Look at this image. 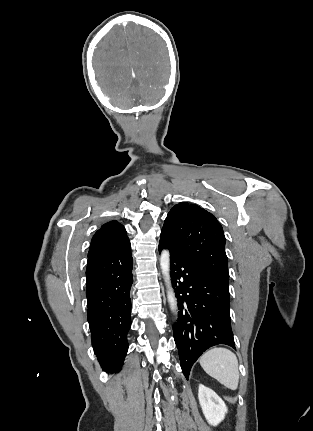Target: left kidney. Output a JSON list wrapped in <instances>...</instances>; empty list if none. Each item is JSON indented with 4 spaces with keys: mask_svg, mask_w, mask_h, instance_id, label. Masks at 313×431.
Segmentation results:
<instances>
[{
    "mask_svg": "<svg viewBox=\"0 0 313 431\" xmlns=\"http://www.w3.org/2000/svg\"><path fill=\"white\" fill-rule=\"evenodd\" d=\"M198 399L207 422L217 426L227 413L224 401L213 390L202 384L199 385Z\"/></svg>",
    "mask_w": 313,
    "mask_h": 431,
    "instance_id": "1",
    "label": "left kidney"
}]
</instances>
